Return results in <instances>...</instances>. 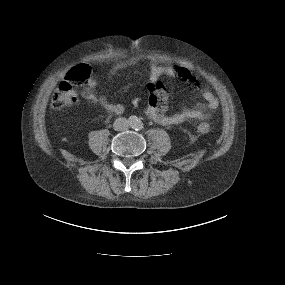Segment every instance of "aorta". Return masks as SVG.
<instances>
[{
  "label": "aorta",
  "instance_id": "obj_1",
  "mask_svg": "<svg viewBox=\"0 0 285 285\" xmlns=\"http://www.w3.org/2000/svg\"><path fill=\"white\" fill-rule=\"evenodd\" d=\"M128 123L132 128H138L141 126V121L136 116L129 117Z\"/></svg>",
  "mask_w": 285,
  "mask_h": 285
}]
</instances>
